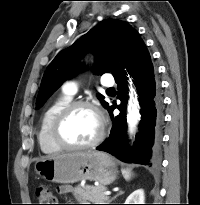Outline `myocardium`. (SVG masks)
<instances>
[{"label":"myocardium","instance_id":"obj_1","mask_svg":"<svg viewBox=\"0 0 200 205\" xmlns=\"http://www.w3.org/2000/svg\"><path fill=\"white\" fill-rule=\"evenodd\" d=\"M79 108H87L95 112V114L98 117L99 120V131L97 136L90 142L85 144H70L67 143L63 137H62V127L67 118L77 109ZM106 134V121L105 118L101 112V110L92 102L85 101V100H77V101H71L68 103L56 116L52 129H51V136L54 141V143L63 150H85L90 149L93 147H96L99 145L102 140L104 139Z\"/></svg>","mask_w":200,"mask_h":205}]
</instances>
